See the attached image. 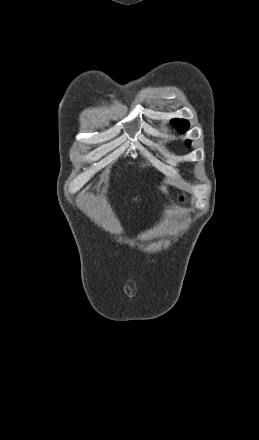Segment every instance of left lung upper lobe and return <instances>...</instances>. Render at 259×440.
Returning <instances> with one entry per match:
<instances>
[{
	"label": "left lung upper lobe",
	"instance_id": "1",
	"mask_svg": "<svg viewBox=\"0 0 259 440\" xmlns=\"http://www.w3.org/2000/svg\"><path fill=\"white\" fill-rule=\"evenodd\" d=\"M171 124L173 126H175L176 129L179 132H181V133L185 132L188 129V127H189V123L186 120H184V119H173L171 121ZM187 142H188L187 146L189 147L190 146V141H187Z\"/></svg>",
	"mask_w": 259,
	"mask_h": 440
}]
</instances>
